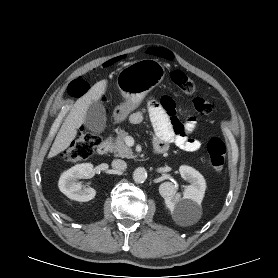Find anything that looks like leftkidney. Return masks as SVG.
Here are the masks:
<instances>
[{
	"mask_svg": "<svg viewBox=\"0 0 278 278\" xmlns=\"http://www.w3.org/2000/svg\"><path fill=\"white\" fill-rule=\"evenodd\" d=\"M179 172L190 185L185 187L183 197L177 193L171 182H164L159 186V193L164 198L167 208L176 218L185 217L200 209L206 190L204 177L190 166H180Z\"/></svg>",
	"mask_w": 278,
	"mask_h": 278,
	"instance_id": "obj_1",
	"label": "left kidney"
}]
</instances>
